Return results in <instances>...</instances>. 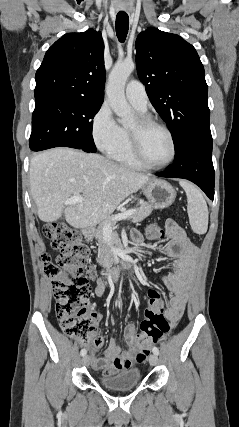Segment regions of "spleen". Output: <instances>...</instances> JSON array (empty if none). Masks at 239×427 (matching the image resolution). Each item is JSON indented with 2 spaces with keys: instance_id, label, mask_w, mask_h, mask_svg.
<instances>
[{
  "instance_id": "1",
  "label": "spleen",
  "mask_w": 239,
  "mask_h": 427,
  "mask_svg": "<svg viewBox=\"0 0 239 427\" xmlns=\"http://www.w3.org/2000/svg\"><path fill=\"white\" fill-rule=\"evenodd\" d=\"M187 196V212L192 230L196 234H205L208 229V207L200 190L193 184L181 180L179 182Z\"/></svg>"
}]
</instances>
